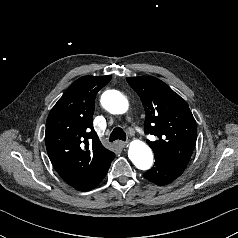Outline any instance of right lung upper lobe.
<instances>
[{"instance_id": "obj_1", "label": "right lung upper lobe", "mask_w": 238, "mask_h": 238, "mask_svg": "<svg viewBox=\"0 0 238 238\" xmlns=\"http://www.w3.org/2000/svg\"><path fill=\"white\" fill-rule=\"evenodd\" d=\"M111 76H83L73 82L50 111L45 143L61 178L72 187L86 181L115 157L93 128L97 92Z\"/></svg>"}]
</instances>
